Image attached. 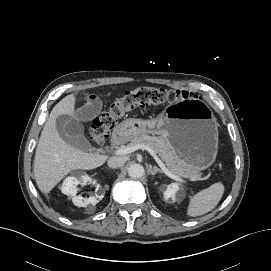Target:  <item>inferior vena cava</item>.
<instances>
[{
  "label": "inferior vena cava",
  "instance_id": "602c4592",
  "mask_svg": "<svg viewBox=\"0 0 271 271\" xmlns=\"http://www.w3.org/2000/svg\"><path fill=\"white\" fill-rule=\"evenodd\" d=\"M125 158L124 157H117V156H113V157H110L109 160H108V166L110 168H119L121 167L124 163H125Z\"/></svg>",
  "mask_w": 271,
  "mask_h": 271
}]
</instances>
